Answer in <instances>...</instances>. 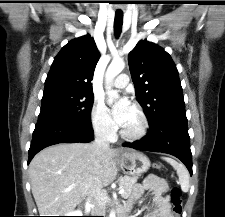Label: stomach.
Masks as SVG:
<instances>
[{"label":"stomach","mask_w":225,"mask_h":217,"mask_svg":"<svg viewBox=\"0 0 225 217\" xmlns=\"http://www.w3.org/2000/svg\"><path fill=\"white\" fill-rule=\"evenodd\" d=\"M121 169L128 175H140L150 167V160L141 152L128 151L120 155L118 160Z\"/></svg>","instance_id":"stomach-1"}]
</instances>
